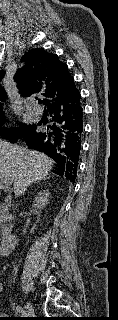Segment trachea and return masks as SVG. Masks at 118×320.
Returning a JSON list of instances; mask_svg holds the SVG:
<instances>
[{
	"label": "trachea",
	"instance_id": "3493384b",
	"mask_svg": "<svg viewBox=\"0 0 118 320\" xmlns=\"http://www.w3.org/2000/svg\"><path fill=\"white\" fill-rule=\"evenodd\" d=\"M38 103H42V100H38Z\"/></svg>",
	"mask_w": 118,
	"mask_h": 320
}]
</instances>
